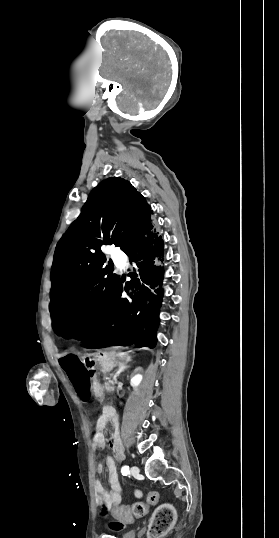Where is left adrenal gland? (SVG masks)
Returning <instances> with one entry per match:
<instances>
[{
    "mask_svg": "<svg viewBox=\"0 0 279 538\" xmlns=\"http://www.w3.org/2000/svg\"><path fill=\"white\" fill-rule=\"evenodd\" d=\"M128 362H131V358H127ZM128 362H124V364H122V366H120L119 368V372H117L116 376H115V380L117 378V376H120L121 372H124V370H126V368H129V366H127Z\"/></svg>",
    "mask_w": 279,
    "mask_h": 538,
    "instance_id": "a2214340",
    "label": "left adrenal gland"
}]
</instances>
